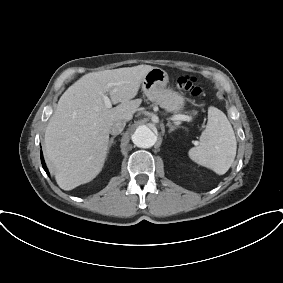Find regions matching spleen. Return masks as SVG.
I'll list each match as a JSON object with an SVG mask.
<instances>
[{
	"label": "spleen",
	"instance_id": "1",
	"mask_svg": "<svg viewBox=\"0 0 283 283\" xmlns=\"http://www.w3.org/2000/svg\"><path fill=\"white\" fill-rule=\"evenodd\" d=\"M200 145L189 150V158L195 163L225 174L236 156L237 142L226 115L216 107H209L208 122L200 136Z\"/></svg>",
	"mask_w": 283,
	"mask_h": 283
}]
</instances>
